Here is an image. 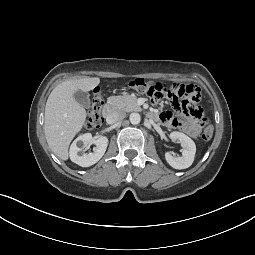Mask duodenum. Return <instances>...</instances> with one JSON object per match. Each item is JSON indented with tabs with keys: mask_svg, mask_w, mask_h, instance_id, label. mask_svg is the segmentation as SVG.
Instances as JSON below:
<instances>
[{
	"mask_svg": "<svg viewBox=\"0 0 255 255\" xmlns=\"http://www.w3.org/2000/svg\"><path fill=\"white\" fill-rule=\"evenodd\" d=\"M103 116L105 119L109 120L113 115V108L110 105H106L103 109Z\"/></svg>",
	"mask_w": 255,
	"mask_h": 255,
	"instance_id": "1",
	"label": "duodenum"
}]
</instances>
